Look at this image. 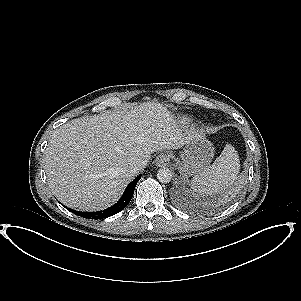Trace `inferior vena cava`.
Instances as JSON below:
<instances>
[{
  "mask_svg": "<svg viewBox=\"0 0 301 301\" xmlns=\"http://www.w3.org/2000/svg\"><path fill=\"white\" fill-rule=\"evenodd\" d=\"M146 165H147L146 161L137 162L130 166V170L133 173H137L139 171H142L146 167Z\"/></svg>",
  "mask_w": 301,
  "mask_h": 301,
  "instance_id": "602c4592",
  "label": "inferior vena cava"
}]
</instances>
